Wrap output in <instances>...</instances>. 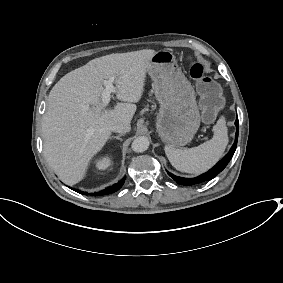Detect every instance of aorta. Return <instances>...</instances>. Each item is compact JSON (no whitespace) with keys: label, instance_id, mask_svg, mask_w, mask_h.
<instances>
[{"label":"aorta","instance_id":"aorta-1","mask_svg":"<svg viewBox=\"0 0 283 283\" xmlns=\"http://www.w3.org/2000/svg\"><path fill=\"white\" fill-rule=\"evenodd\" d=\"M149 140L145 136H139L132 142L131 148L134 152L141 153L148 149Z\"/></svg>","mask_w":283,"mask_h":283}]
</instances>
